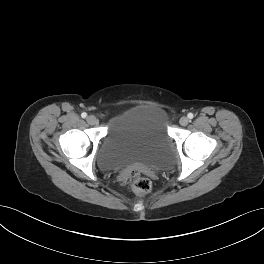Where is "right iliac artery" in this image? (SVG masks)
Wrapping results in <instances>:
<instances>
[{
	"label": "right iliac artery",
	"mask_w": 264,
	"mask_h": 264,
	"mask_svg": "<svg viewBox=\"0 0 264 264\" xmlns=\"http://www.w3.org/2000/svg\"><path fill=\"white\" fill-rule=\"evenodd\" d=\"M86 116H87V113H85V112H83V113L81 114V117H82V118H86Z\"/></svg>",
	"instance_id": "1"
}]
</instances>
